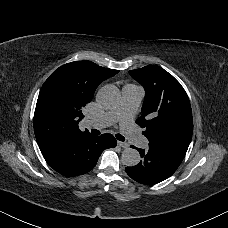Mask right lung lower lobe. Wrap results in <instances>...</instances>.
Returning <instances> with one entry per match:
<instances>
[{
    "label": "right lung lower lobe",
    "mask_w": 228,
    "mask_h": 228,
    "mask_svg": "<svg viewBox=\"0 0 228 228\" xmlns=\"http://www.w3.org/2000/svg\"><path fill=\"white\" fill-rule=\"evenodd\" d=\"M116 145L117 141L111 134L100 137L87 134L65 140L41 152L55 171L73 177L89 172L96 165L102 151Z\"/></svg>",
    "instance_id": "1"
}]
</instances>
